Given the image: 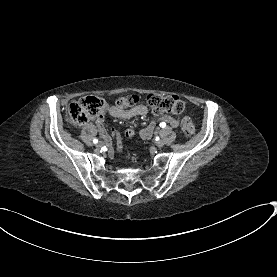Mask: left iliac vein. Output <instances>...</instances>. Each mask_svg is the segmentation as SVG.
I'll return each mask as SVG.
<instances>
[{"label": "left iliac vein", "instance_id": "4c4485c4", "mask_svg": "<svg viewBox=\"0 0 277 277\" xmlns=\"http://www.w3.org/2000/svg\"><path fill=\"white\" fill-rule=\"evenodd\" d=\"M156 146H157L158 148H162V147L164 146V141H163V140L157 141V142H156Z\"/></svg>", "mask_w": 277, "mask_h": 277}]
</instances>
